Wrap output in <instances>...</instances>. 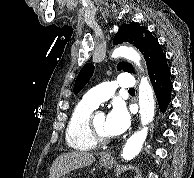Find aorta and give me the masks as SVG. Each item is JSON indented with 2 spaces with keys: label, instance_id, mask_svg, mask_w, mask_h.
<instances>
[{
  "label": "aorta",
  "instance_id": "1",
  "mask_svg": "<svg viewBox=\"0 0 194 178\" xmlns=\"http://www.w3.org/2000/svg\"><path fill=\"white\" fill-rule=\"evenodd\" d=\"M112 57H124L135 63L136 66H138L139 68L141 66V57L139 53L128 46H120L114 49V51L112 52ZM154 105L155 103L152 86L150 85L148 79L143 76L139 84V113L143 128L135 132L127 140L121 154L123 159L131 160L141 151L148 133V127L146 125L152 122L154 117Z\"/></svg>",
  "mask_w": 194,
  "mask_h": 178
}]
</instances>
